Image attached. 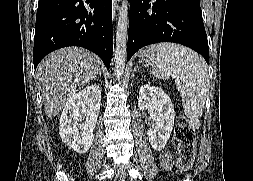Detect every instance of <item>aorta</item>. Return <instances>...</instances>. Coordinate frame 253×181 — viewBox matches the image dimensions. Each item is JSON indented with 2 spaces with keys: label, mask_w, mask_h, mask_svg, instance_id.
<instances>
[{
  "label": "aorta",
  "mask_w": 253,
  "mask_h": 181,
  "mask_svg": "<svg viewBox=\"0 0 253 181\" xmlns=\"http://www.w3.org/2000/svg\"><path fill=\"white\" fill-rule=\"evenodd\" d=\"M128 8V0H123L119 9L114 53V66L117 79L123 74L126 65Z\"/></svg>",
  "instance_id": "762f6f07"
}]
</instances>
